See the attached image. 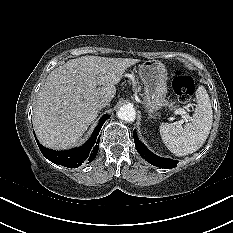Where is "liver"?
<instances>
[{"mask_svg": "<svg viewBox=\"0 0 233 233\" xmlns=\"http://www.w3.org/2000/svg\"><path fill=\"white\" fill-rule=\"evenodd\" d=\"M138 62L83 56L51 71L34 107L33 126L40 143L55 150L76 145L98 115V101L112 100L115 85L127 68Z\"/></svg>", "mask_w": 233, "mask_h": 233, "instance_id": "obj_1", "label": "liver"}]
</instances>
